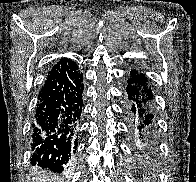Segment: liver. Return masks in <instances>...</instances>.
Returning <instances> with one entry per match:
<instances>
[{"mask_svg": "<svg viewBox=\"0 0 196 182\" xmlns=\"http://www.w3.org/2000/svg\"><path fill=\"white\" fill-rule=\"evenodd\" d=\"M35 182H55L53 179H49L48 175H45L43 173H40L36 179Z\"/></svg>", "mask_w": 196, "mask_h": 182, "instance_id": "1", "label": "liver"}]
</instances>
